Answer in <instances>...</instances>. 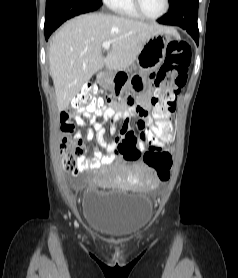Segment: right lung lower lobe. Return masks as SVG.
<instances>
[{
    "label": "right lung lower lobe",
    "mask_w": 238,
    "mask_h": 278,
    "mask_svg": "<svg viewBox=\"0 0 238 278\" xmlns=\"http://www.w3.org/2000/svg\"><path fill=\"white\" fill-rule=\"evenodd\" d=\"M101 6V0H46L45 38L67 19L91 12Z\"/></svg>",
    "instance_id": "1"
}]
</instances>
